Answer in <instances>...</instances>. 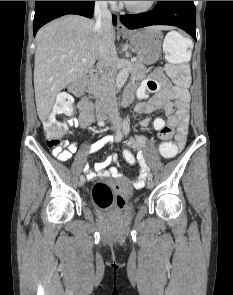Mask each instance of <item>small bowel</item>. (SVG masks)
<instances>
[{
	"mask_svg": "<svg viewBox=\"0 0 233 295\" xmlns=\"http://www.w3.org/2000/svg\"><path fill=\"white\" fill-rule=\"evenodd\" d=\"M152 94L150 98L148 95ZM138 96L141 101L137 104L135 112L137 115L150 114L155 111H162L167 119L156 118L153 121V128L160 132L165 127H170L172 131L176 129L175 141L178 148H183L187 138L188 122H189V93L186 91L183 94H174L169 80L163 73L161 68L153 71L150 78L145 80L138 89ZM79 117L72 120L71 124L78 127H88L91 125L95 117L93 115L92 104L88 98L84 97L79 102ZM149 124L148 119H144L140 123L141 128H146ZM103 125V122H100ZM111 141L109 136H104L91 145L88 153L94 154L107 143ZM129 147L138 150L136 161L140 167V173L135 183L140 184L145 181L149 173V167L145 163L144 154L141 149L145 146V138L142 135H137L135 138L128 140ZM77 151L75 142L66 143L62 148L57 146L53 148L52 154L60 161L66 162L71 159ZM119 157L112 153L104 160L96 162L93 167L85 164L83 170L88 173V178L94 176L121 179L123 177L119 168Z\"/></svg>",
	"mask_w": 233,
	"mask_h": 295,
	"instance_id": "1",
	"label": "small bowel"
}]
</instances>
